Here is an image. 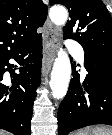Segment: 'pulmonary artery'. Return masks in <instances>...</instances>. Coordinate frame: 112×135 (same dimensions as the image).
<instances>
[{"mask_svg":"<svg viewBox=\"0 0 112 135\" xmlns=\"http://www.w3.org/2000/svg\"><path fill=\"white\" fill-rule=\"evenodd\" d=\"M67 45L69 47L70 53L81 63H83L84 55L81 45L75 41H68Z\"/></svg>","mask_w":112,"mask_h":135,"instance_id":"1","label":"pulmonary artery"}]
</instances>
